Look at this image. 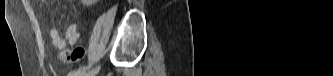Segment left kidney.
<instances>
[{
	"mask_svg": "<svg viewBox=\"0 0 333 76\" xmlns=\"http://www.w3.org/2000/svg\"><path fill=\"white\" fill-rule=\"evenodd\" d=\"M84 2H87V1H84ZM90 2L93 3V2H96V1L95 0H91Z\"/></svg>",
	"mask_w": 333,
	"mask_h": 76,
	"instance_id": "left-kidney-1",
	"label": "left kidney"
}]
</instances>
